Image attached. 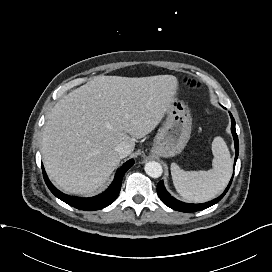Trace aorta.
I'll list each match as a JSON object with an SVG mask.
<instances>
[{
  "label": "aorta",
  "mask_w": 272,
  "mask_h": 272,
  "mask_svg": "<svg viewBox=\"0 0 272 272\" xmlns=\"http://www.w3.org/2000/svg\"><path fill=\"white\" fill-rule=\"evenodd\" d=\"M144 170L146 174L152 178H159L163 173L162 166L155 161L147 162L145 164Z\"/></svg>",
  "instance_id": "762f6f07"
}]
</instances>
